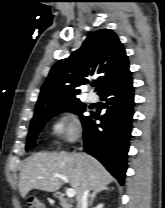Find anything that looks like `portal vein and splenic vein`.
<instances>
[{"instance_id":"portal-vein-and-splenic-vein-1","label":"portal vein and splenic vein","mask_w":165,"mask_h":208,"mask_svg":"<svg viewBox=\"0 0 165 208\" xmlns=\"http://www.w3.org/2000/svg\"><path fill=\"white\" fill-rule=\"evenodd\" d=\"M53 177L55 178H60L62 181H64L65 183H69V179L66 176L60 175V174H53ZM75 190L73 188H68L66 190V195L69 198H72L75 196Z\"/></svg>"}]
</instances>
